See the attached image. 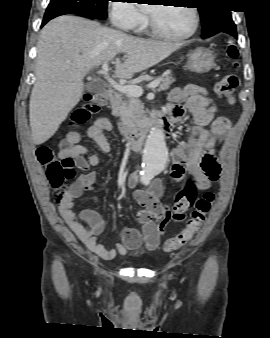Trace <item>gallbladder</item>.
<instances>
[{
	"mask_svg": "<svg viewBox=\"0 0 270 338\" xmlns=\"http://www.w3.org/2000/svg\"><path fill=\"white\" fill-rule=\"evenodd\" d=\"M86 90L92 93H97V92H103L105 88L100 83L89 82L86 84Z\"/></svg>",
	"mask_w": 270,
	"mask_h": 338,
	"instance_id": "bac80fb5",
	"label": "gallbladder"
}]
</instances>
